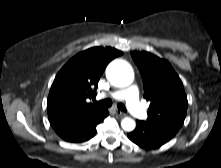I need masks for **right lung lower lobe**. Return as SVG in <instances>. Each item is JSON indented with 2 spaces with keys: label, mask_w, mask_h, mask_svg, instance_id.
<instances>
[{
  "label": "right lung lower lobe",
  "mask_w": 221,
  "mask_h": 168,
  "mask_svg": "<svg viewBox=\"0 0 221 168\" xmlns=\"http://www.w3.org/2000/svg\"><path fill=\"white\" fill-rule=\"evenodd\" d=\"M109 115L107 109L94 118L82 119L69 126L55 128V132L65 141L78 143L91 139L96 134V126Z\"/></svg>",
  "instance_id": "1"
}]
</instances>
